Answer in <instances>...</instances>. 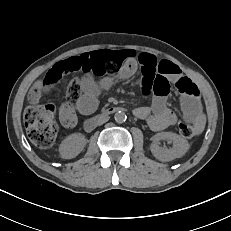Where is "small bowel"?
I'll use <instances>...</instances> for the list:
<instances>
[{
  "label": "small bowel",
  "mask_w": 231,
  "mask_h": 231,
  "mask_svg": "<svg viewBox=\"0 0 231 231\" xmlns=\"http://www.w3.org/2000/svg\"><path fill=\"white\" fill-rule=\"evenodd\" d=\"M140 69L138 85L144 96L154 94L151 105L134 110L135 116L145 121L154 131H162L174 125L176 113L166 104V96L156 93L155 81L161 78L169 85L181 77L182 71L171 61L158 60L153 54L133 50H98L70 57L55 64L45 75L49 79H59L68 73H80L74 78L66 100L60 107V121L66 128L77 124V113L89 114L96 108V96L115 83L128 79ZM182 108L186 119L192 122L197 132L205 125V115L198 96L182 95Z\"/></svg>",
  "instance_id": "obj_1"
}]
</instances>
